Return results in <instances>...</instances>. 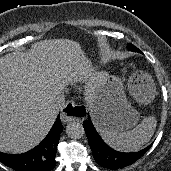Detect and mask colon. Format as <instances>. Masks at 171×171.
Instances as JSON below:
<instances>
[{
	"mask_svg": "<svg viewBox=\"0 0 171 171\" xmlns=\"http://www.w3.org/2000/svg\"><path fill=\"white\" fill-rule=\"evenodd\" d=\"M140 75L138 73H134L130 76V79H129V87L131 89H134L138 79H139Z\"/></svg>",
	"mask_w": 171,
	"mask_h": 171,
	"instance_id": "5ec220e1",
	"label": "colon"
}]
</instances>
